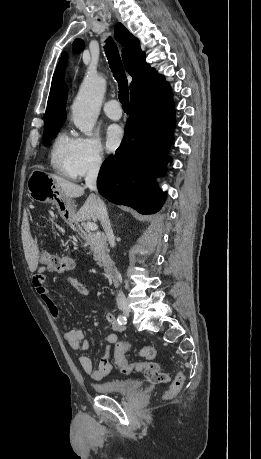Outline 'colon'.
<instances>
[{
	"label": "colon",
	"mask_w": 261,
	"mask_h": 459,
	"mask_svg": "<svg viewBox=\"0 0 261 459\" xmlns=\"http://www.w3.org/2000/svg\"><path fill=\"white\" fill-rule=\"evenodd\" d=\"M36 243L40 242L39 238L35 239ZM37 251L41 253L40 258L43 261H47V269L49 271L66 272L74 268V261L69 256H62L60 252H46L47 248L41 245L37 248ZM131 349V345L127 341H121L116 344L115 355L118 358V366L122 373L129 374L133 371L143 372L147 380L153 384L167 383L170 380L168 373L163 371L161 366L153 362L152 360L156 356V350L153 346H144L139 350L140 356L145 358L146 362L128 363L124 355ZM183 385V375L177 373L174 377L168 391L165 396L171 398L175 396Z\"/></svg>",
	"instance_id": "1"
}]
</instances>
